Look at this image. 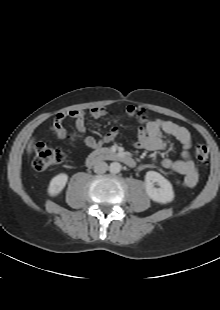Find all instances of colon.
Returning a JSON list of instances; mask_svg holds the SVG:
<instances>
[{"instance_id": "obj_1", "label": "colon", "mask_w": 220, "mask_h": 310, "mask_svg": "<svg viewBox=\"0 0 220 310\" xmlns=\"http://www.w3.org/2000/svg\"><path fill=\"white\" fill-rule=\"evenodd\" d=\"M195 155L200 164L208 163L209 150L205 145L198 144L195 148ZM64 158L65 154L61 149L47 146L44 143H36L32 165L35 170L43 171L61 163Z\"/></svg>"}]
</instances>
